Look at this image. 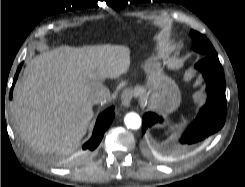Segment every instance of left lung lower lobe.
<instances>
[{"mask_svg":"<svg viewBox=\"0 0 245 187\" xmlns=\"http://www.w3.org/2000/svg\"><path fill=\"white\" fill-rule=\"evenodd\" d=\"M198 69L206 80L208 99L201 109L196 120L183 134L181 143L194 144L200 142L219 131L226 119L225 77L218 56H205L196 63ZM159 121L155 113H145L143 116L142 131L145 133Z\"/></svg>","mask_w":245,"mask_h":187,"instance_id":"obj_1","label":"left lung lower lobe"}]
</instances>
